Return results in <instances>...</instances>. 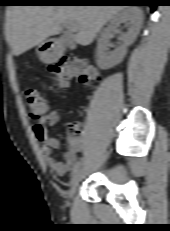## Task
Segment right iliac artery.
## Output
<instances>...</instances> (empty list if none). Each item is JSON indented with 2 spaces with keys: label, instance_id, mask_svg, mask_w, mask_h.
Segmentation results:
<instances>
[{
  "label": "right iliac artery",
  "instance_id": "right-iliac-artery-1",
  "mask_svg": "<svg viewBox=\"0 0 170 231\" xmlns=\"http://www.w3.org/2000/svg\"><path fill=\"white\" fill-rule=\"evenodd\" d=\"M80 165H81V163L78 162V163L74 166V168L72 169V175L75 174V173L78 171Z\"/></svg>",
  "mask_w": 170,
  "mask_h": 231
}]
</instances>
